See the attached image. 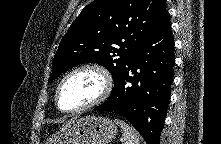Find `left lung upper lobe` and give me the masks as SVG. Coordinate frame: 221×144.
I'll return each instance as SVG.
<instances>
[{
	"instance_id": "1",
	"label": "left lung upper lobe",
	"mask_w": 221,
	"mask_h": 144,
	"mask_svg": "<svg viewBox=\"0 0 221 144\" xmlns=\"http://www.w3.org/2000/svg\"><path fill=\"white\" fill-rule=\"evenodd\" d=\"M164 0H97L87 5L62 38L49 82L67 69L97 63L117 79L166 15Z\"/></svg>"
}]
</instances>
